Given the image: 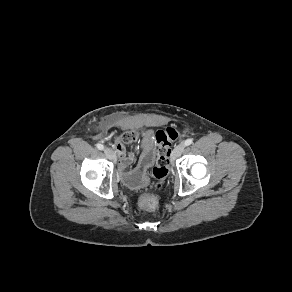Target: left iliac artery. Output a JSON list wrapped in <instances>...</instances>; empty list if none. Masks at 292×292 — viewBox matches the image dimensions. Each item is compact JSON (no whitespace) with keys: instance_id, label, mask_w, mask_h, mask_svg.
Instances as JSON below:
<instances>
[{"instance_id":"1","label":"left iliac artery","mask_w":292,"mask_h":292,"mask_svg":"<svg viewBox=\"0 0 292 292\" xmlns=\"http://www.w3.org/2000/svg\"><path fill=\"white\" fill-rule=\"evenodd\" d=\"M192 143H193V139L189 138V139L185 140L184 145H185V146H189V145H191Z\"/></svg>"}]
</instances>
